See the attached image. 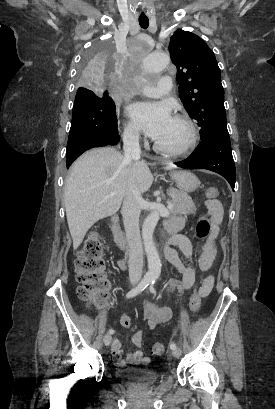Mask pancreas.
<instances>
[{
    "label": "pancreas",
    "instance_id": "pancreas-1",
    "mask_svg": "<svg viewBox=\"0 0 275 409\" xmlns=\"http://www.w3.org/2000/svg\"><path fill=\"white\" fill-rule=\"evenodd\" d=\"M168 194H170L173 202V209H169L170 213L173 215H190V213H194L196 211V207L194 202L184 190H178V188H173V186H169L167 188Z\"/></svg>",
    "mask_w": 275,
    "mask_h": 409
}]
</instances>
